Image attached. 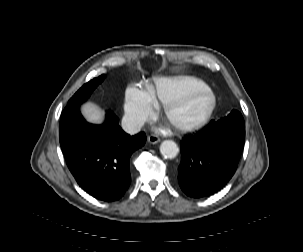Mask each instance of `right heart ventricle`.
Segmentation results:
<instances>
[{"label": "right heart ventricle", "mask_w": 303, "mask_h": 252, "mask_svg": "<svg viewBox=\"0 0 303 252\" xmlns=\"http://www.w3.org/2000/svg\"><path fill=\"white\" fill-rule=\"evenodd\" d=\"M202 82L196 79H160L147 88L145 95L152 105H167L186 97Z\"/></svg>", "instance_id": "right-heart-ventricle-1"}]
</instances>
